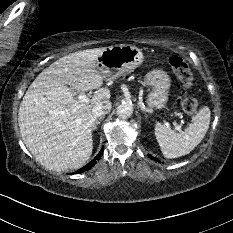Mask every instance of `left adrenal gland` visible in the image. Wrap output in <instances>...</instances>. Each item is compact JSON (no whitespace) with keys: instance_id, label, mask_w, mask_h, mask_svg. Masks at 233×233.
Masks as SVG:
<instances>
[{"instance_id":"a2214340","label":"left adrenal gland","mask_w":233,"mask_h":233,"mask_svg":"<svg viewBox=\"0 0 233 233\" xmlns=\"http://www.w3.org/2000/svg\"><path fill=\"white\" fill-rule=\"evenodd\" d=\"M147 118H148V116H147L146 111H145V119H147Z\"/></svg>"}]
</instances>
